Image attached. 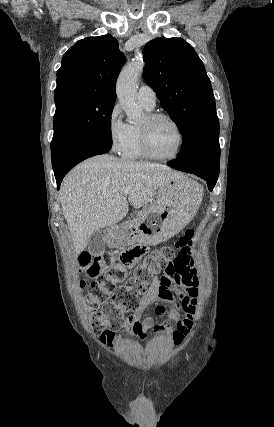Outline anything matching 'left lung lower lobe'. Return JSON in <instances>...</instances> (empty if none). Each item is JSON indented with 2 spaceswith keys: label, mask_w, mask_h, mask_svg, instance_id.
Returning <instances> with one entry per match:
<instances>
[{
  "label": "left lung lower lobe",
  "mask_w": 274,
  "mask_h": 427,
  "mask_svg": "<svg viewBox=\"0 0 274 427\" xmlns=\"http://www.w3.org/2000/svg\"><path fill=\"white\" fill-rule=\"evenodd\" d=\"M167 164L172 168L187 173L195 174L206 180L210 191L213 190L220 171L219 161L216 162L208 159L195 161H185L176 159L175 161L168 162Z\"/></svg>",
  "instance_id": "1"
}]
</instances>
